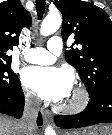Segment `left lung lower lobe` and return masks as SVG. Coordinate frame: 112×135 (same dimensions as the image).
Listing matches in <instances>:
<instances>
[{
	"mask_svg": "<svg viewBox=\"0 0 112 135\" xmlns=\"http://www.w3.org/2000/svg\"><path fill=\"white\" fill-rule=\"evenodd\" d=\"M56 124L61 128H80L98 123H112V88L90 96L88 106L76 115H58Z\"/></svg>",
	"mask_w": 112,
	"mask_h": 135,
	"instance_id": "0a47b994",
	"label": "left lung lower lobe"
}]
</instances>
